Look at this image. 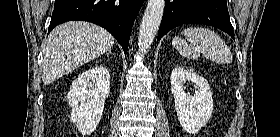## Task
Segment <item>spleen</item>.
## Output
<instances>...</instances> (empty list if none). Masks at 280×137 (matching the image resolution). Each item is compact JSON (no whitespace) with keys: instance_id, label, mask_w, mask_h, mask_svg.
Segmentation results:
<instances>
[{"instance_id":"obj_1","label":"spleen","mask_w":280,"mask_h":137,"mask_svg":"<svg viewBox=\"0 0 280 137\" xmlns=\"http://www.w3.org/2000/svg\"><path fill=\"white\" fill-rule=\"evenodd\" d=\"M181 36H184L185 39H182ZM172 45L183 57L189 59H197L201 54L219 64L231 63L233 59L232 53L223 39L213 30L204 27L184 29L180 36L173 39Z\"/></svg>"}]
</instances>
